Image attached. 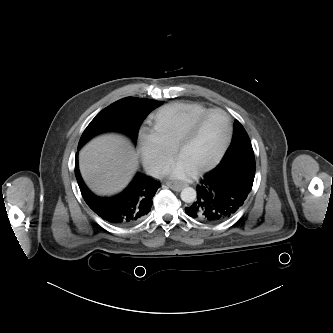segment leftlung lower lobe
<instances>
[{
	"instance_id": "left-lung-lower-lobe-1",
	"label": "left lung lower lobe",
	"mask_w": 333,
	"mask_h": 333,
	"mask_svg": "<svg viewBox=\"0 0 333 333\" xmlns=\"http://www.w3.org/2000/svg\"><path fill=\"white\" fill-rule=\"evenodd\" d=\"M255 159L244 157L220 163L197 186V200L185 208L200 222H219L233 215L246 200L255 177Z\"/></svg>"
}]
</instances>
